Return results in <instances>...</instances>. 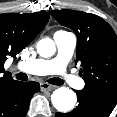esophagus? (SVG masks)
<instances>
[{
    "instance_id": "34e87169",
    "label": "esophagus",
    "mask_w": 117,
    "mask_h": 117,
    "mask_svg": "<svg viewBox=\"0 0 117 117\" xmlns=\"http://www.w3.org/2000/svg\"><path fill=\"white\" fill-rule=\"evenodd\" d=\"M56 87L54 85H50L48 83H41V91H51L55 89Z\"/></svg>"
}]
</instances>
